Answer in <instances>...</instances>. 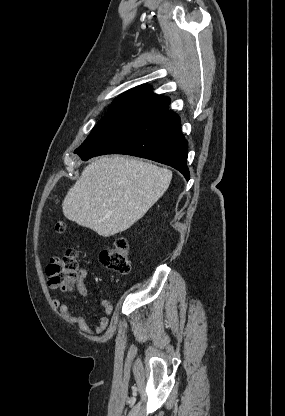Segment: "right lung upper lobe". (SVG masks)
Wrapping results in <instances>:
<instances>
[{
  "instance_id": "cb5924a9",
  "label": "right lung upper lobe",
  "mask_w": 285,
  "mask_h": 416,
  "mask_svg": "<svg viewBox=\"0 0 285 416\" xmlns=\"http://www.w3.org/2000/svg\"><path fill=\"white\" fill-rule=\"evenodd\" d=\"M122 95H131L143 99L145 101L158 104L162 109H167L170 99L165 96L156 95L151 92L149 85H140L124 92Z\"/></svg>"
}]
</instances>
